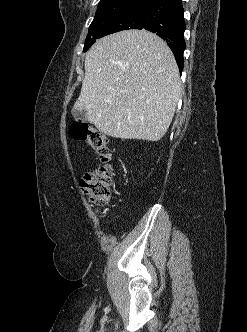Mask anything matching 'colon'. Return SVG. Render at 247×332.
Wrapping results in <instances>:
<instances>
[{
  "mask_svg": "<svg viewBox=\"0 0 247 332\" xmlns=\"http://www.w3.org/2000/svg\"><path fill=\"white\" fill-rule=\"evenodd\" d=\"M70 135L75 140L85 141L100 159V164L80 180L83 192L94 207L100 210L109 202L113 187L108 140L97 128L83 121L71 125Z\"/></svg>",
  "mask_w": 247,
  "mask_h": 332,
  "instance_id": "colon-1",
  "label": "colon"
}]
</instances>
